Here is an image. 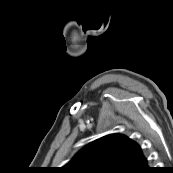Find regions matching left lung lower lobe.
<instances>
[{
    "mask_svg": "<svg viewBox=\"0 0 173 173\" xmlns=\"http://www.w3.org/2000/svg\"><path fill=\"white\" fill-rule=\"evenodd\" d=\"M141 173H154V170L151 167H147Z\"/></svg>",
    "mask_w": 173,
    "mask_h": 173,
    "instance_id": "obj_1",
    "label": "left lung lower lobe"
}]
</instances>
